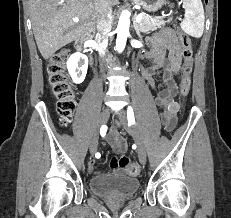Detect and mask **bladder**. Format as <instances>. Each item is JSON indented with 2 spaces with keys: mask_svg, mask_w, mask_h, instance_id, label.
I'll return each mask as SVG.
<instances>
[{
  "mask_svg": "<svg viewBox=\"0 0 231 218\" xmlns=\"http://www.w3.org/2000/svg\"><path fill=\"white\" fill-rule=\"evenodd\" d=\"M89 187L93 193L101 197L125 199L138 191L140 182L130 176H95L90 179Z\"/></svg>",
  "mask_w": 231,
  "mask_h": 218,
  "instance_id": "31cf9c89",
  "label": "bladder"
}]
</instances>
